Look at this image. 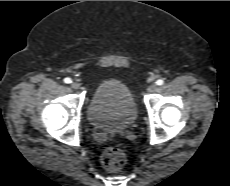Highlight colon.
I'll list each match as a JSON object with an SVG mask.
<instances>
[{
    "label": "colon",
    "instance_id": "obj_1",
    "mask_svg": "<svg viewBox=\"0 0 230 186\" xmlns=\"http://www.w3.org/2000/svg\"><path fill=\"white\" fill-rule=\"evenodd\" d=\"M101 163L108 171H118L126 163V155L121 148H109L101 156Z\"/></svg>",
    "mask_w": 230,
    "mask_h": 186
}]
</instances>
